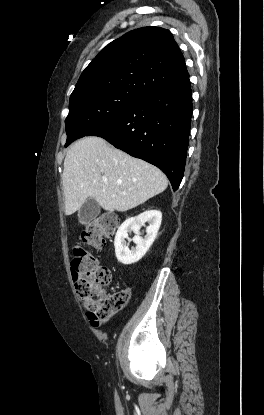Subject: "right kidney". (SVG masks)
I'll return each mask as SVG.
<instances>
[{
  "mask_svg": "<svg viewBox=\"0 0 264 415\" xmlns=\"http://www.w3.org/2000/svg\"><path fill=\"white\" fill-rule=\"evenodd\" d=\"M161 220L162 214L158 210H148L136 217L126 219L118 228L115 235L114 247L117 260L124 265L139 261L153 244L160 228ZM145 222H148L149 226L146 228L145 237L141 238L140 228ZM131 231L136 234L132 239L136 247L132 250L129 249L125 240H129L128 232Z\"/></svg>",
  "mask_w": 264,
  "mask_h": 415,
  "instance_id": "ca27d5eb",
  "label": "right kidney"
}]
</instances>
